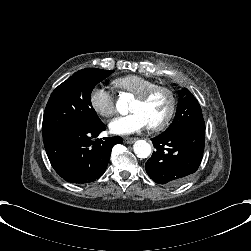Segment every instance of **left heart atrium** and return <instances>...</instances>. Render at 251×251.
<instances>
[{
  "mask_svg": "<svg viewBox=\"0 0 251 251\" xmlns=\"http://www.w3.org/2000/svg\"><path fill=\"white\" fill-rule=\"evenodd\" d=\"M150 125L145 113L135 110L126 115H118L109 122V129L118 135H127L138 132Z\"/></svg>",
  "mask_w": 251,
  "mask_h": 251,
  "instance_id": "obj_1",
  "label": "left heart atrium"
}]
</instances>
